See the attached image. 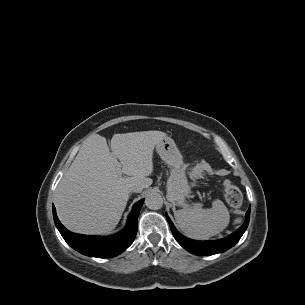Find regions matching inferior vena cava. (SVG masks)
<instances>
[{"label": "inferior vena cava", "mask_w": 305, "mask_h": 305, "mask_svg": "<svg viewBox=\"0 0 305 305\" xmlns=\"http://www.w3.org/2000/svg\"><path fill=\"white\" fill-rule=\"evenodd\" d=\"M142 191V187L141 186H132L130 188V192H136V193H139Z\"/></svg>", "instance_id": "1"}]
</instances>
